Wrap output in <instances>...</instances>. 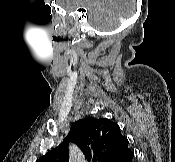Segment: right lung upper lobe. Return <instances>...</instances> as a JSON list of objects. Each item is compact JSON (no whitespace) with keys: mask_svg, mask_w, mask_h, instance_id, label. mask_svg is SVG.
<instances>
[{"mask_svg":"<svg viewBox=\"0 0 175 162\" xmlns=\"http://www.w3.org/2000/svg\"><path fill=\"white\" fill-rule=\"evenodd\" d=\"M69 142L77 144L88 161L93 156V162H112L128 148V140L117 123L106 118H85L72 124L63 142L37 162H69Z\"/></svg>","mask_w":175,"mask_h":162,"instance_id":"right-lung-upper-lobe-1","label":"right lung upper lobe"}]
</instances>
